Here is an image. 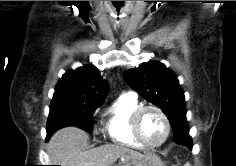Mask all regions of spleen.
I'll use <instances>...</instances> for the list:
<instances>
[{"label": "spleen", "mask_w": 236, "mask_h": 166, "mask_svg": "<svg viewBox=\"0 0 236 166\" xmlns=\"http://www.w3.org/2000/svg\"><path fill=\"white\" fill-rule=\"evenodd\" d=\"M185 166H190L189 164H186Z\"/></svg>", "instance_id": "spleen-1"}]
</instances>
